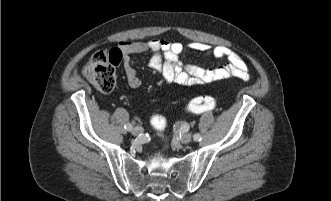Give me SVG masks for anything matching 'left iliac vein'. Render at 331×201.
<instances>
[{
    "mask_svg": "<svg viewBox=\"0 0 331 201\" xmlns=\"http://www.w3.org/2000/svg\"><path fill=\"white\" fill-rule=\"evenodd\" d=\"M192 139V136L190 133H183L181 136H180V141L184 144H187L191 141Z\"/></svg>",
    "mask_w": 331,
    "mask_h": 201,
    "instance_id": "4c4485c4",
    "label": "left iliac vein"
}]
</instances>
